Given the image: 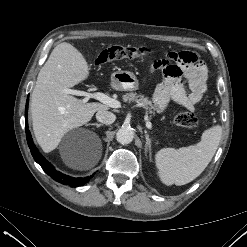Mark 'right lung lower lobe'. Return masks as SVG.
<instances>
[{"label": "right lung lower lobe", "mask_w": 247, "mask_h": 247, "mask_svg": "<svg viewBox=\"0 0 247 247\" xmlns=\"http://www.w3.org/2000/svg\"><path fill=\"white\" fill-rule=\"evenodd\" d=\"M28 102L29 99H27L26 108H25L26 137H27L28 146L30 148L31 154L34 157L35 161L42 167L45 173H47L51 178H53L55 181L61 184L69 185L71 187H77L87 183L90 180V178L94 176V174L91 175L90 177H85V178H73L67 176L57 171L36 149L33 140L31 138L30 131L28 129V121H27Z\"/></svg>", "instance_id": "1"}]
</instances>
